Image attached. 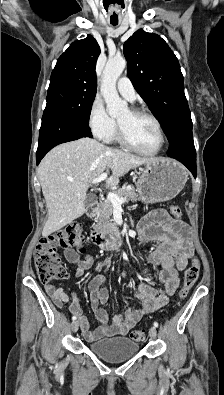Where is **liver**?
I'll list each match as a JSON object with an SVG mask.
<instances>
[{"mask_svg": "<svg viewBox=\"0 0 224 395\" xmlns=\"http://www.w3.org/2000/svg\"><path fill=\"white\" fill-rule=\"evenodd\" d=\"M95 139L83 138L58 145L41 161L38 177L48 209L44 237L70 224L85 212V199L92 180L110 173L106 183L116 186L131 169L154 161Z\"/></svg>", "mask_w": 224, "mask_h": 395, "instance_id": "1", "label": "liver"}]
</instances>
